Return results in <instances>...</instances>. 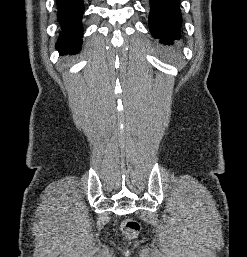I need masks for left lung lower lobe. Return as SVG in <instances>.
<instances>
[{
  "label": "left lung lower lobe",
  "instance_id": "left-lung-lower-lobe-1",
  "mask_svg": "<svg viewBox=\"0 0 247 257\" xmlns=\"http://www.w3.org/2000/svg\"><path fill=\"white\" fill-rule=\"evenodd\" d=\"M180 0H150L149 28L161 43L174 44L180 39L182 17Z\"/></svg>",
  "mask_w": 247,
  "mask_h": 257
}]
</instances>
